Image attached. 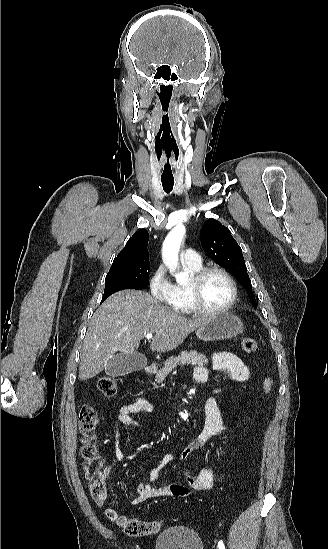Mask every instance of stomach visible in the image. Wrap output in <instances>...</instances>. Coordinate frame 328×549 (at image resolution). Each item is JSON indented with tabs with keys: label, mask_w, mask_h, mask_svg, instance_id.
I'll return each instance as SVG.
<instances>
[{
	"label": "stomach",
	"mask_w": 328,
	"mask_h": 549,
	"mask_svg": "<svg viewBox=\"0 0 328 549\" xmlns=\"http://www.w3.org/2000/svg\"><path fill=\"white\" fill-rule=\"evenodd\" d=\"M243 331L244 325L239 317L227 311H220L212 317H207L206 323L197 329L196 337L200 341H222L233 339Z\"/></svg>",
	"instance_id": "obj_1"
}]
</instances>
